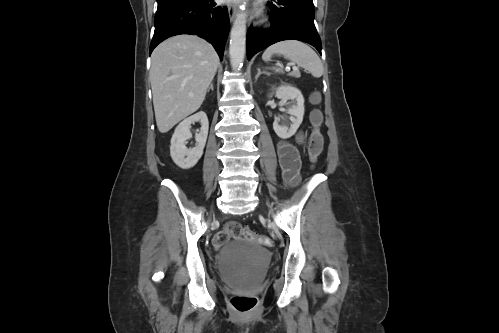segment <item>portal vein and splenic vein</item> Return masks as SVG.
Wrapping results in <instances>:
<instances>
[{
	"label": "portal vein and splenic vein",
	"instance_id": "portal-vein-and-splenic-vein-1",
	"mask_svg": "<svg viewBox=\"0 0 499 333\" xmlns=\"http://www.w3.org/2000/svg\"><path fill=\"white\" fill-rule=\"evenodd\" d=\"M298 68L293 65V70H297ZM286 70H290V66H286Z\"/></svg>",
	"mask_w": 499,
	"mask_h": 333
}]
</instances>
